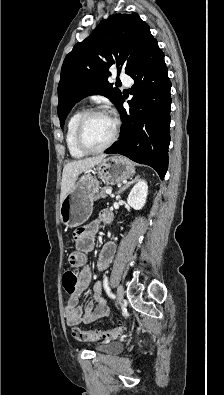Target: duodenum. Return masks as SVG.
<instances>
[{
	"mask_svg": "<svg viewBox=\"0 0 224 395\" xmlns=\"http://www.w3.org/2000/svg\"><path fill=\"white\" fill-rule=\"evenodd\" d=\"M111 213L110 212H106V214H105V217H104V219H105V222H107L110 218H111Z\"/></svg>",
	"mask_w": 224,
	"mask_h": 395,
	"instance_id": "410a0bca",
	"label": "duodenum"
}]
</instances>
